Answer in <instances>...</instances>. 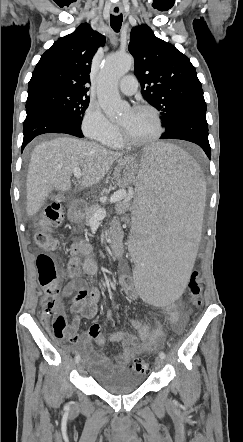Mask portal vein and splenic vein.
<instances>
[{
  "instance_id": "portal-vein-and-splenic-vein-1",
  "label": "portal vein and splenic vein",
  "mask_w": 243,
  "mask_h": 442,
  "mask_svg": "<svg viewBox=\"0 0 243 442\" xmlns=\"http://www.w3.org/2000/svg\"><path fill=\"white\" fill-rule=\"evenodd\" d=\"M73 174L77 179H79L82 175L81 169L79 167H75L73 169ZM131 196H132V193H127L125 190H122V191L114 193L110 198V202L116 203V202H119L123 199L129 200L131 198ZM105 216H106V211L104 209H99L93 214L91 221L92 222L100 221V220L104 219Z\"/></svg>"
}]
</instances>
